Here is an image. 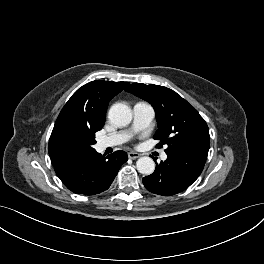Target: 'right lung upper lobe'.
I'll use <instances>...</instances> for the list:
<instances>
[{
  "instance_id": "right-lung-upper-lobe-1",
  "label": "right lung upper lobe",
  "mask_w": 264,
  "mask_h": 264,
  "mask_svg": "<svg viewBox=\"0 0 264 264\" xmlns=\"http://www.w3.org/2000/svg\"><path fill=\"white\" fill-rule=\"evenodd\" d=\"M128 82L92 81L79 88L60 112L49 140V154L53 165L64 160L57 148L61 135L70 128L97 132L106 118L109 101L120 93Z\"/></svg>"
}]
</instances>
